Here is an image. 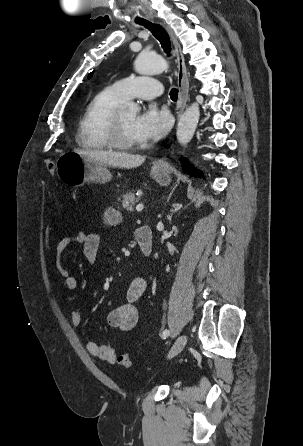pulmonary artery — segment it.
Wrapping results in <instances>:
<instances>
[{"instance_id":"e3ab8cb5","label":"pulmonary artery","mask_w":303,"mask_h":446,"mask_svg":"<svg viewBox=\"0 0 303 446\" xmlns=\"http://www.w3.org/2000/svg\"><path fill=\"white\" fill-rule=\"evenodd\" d=\"M115 90L125 99L140 98L152 100L162 94L161 83L152 77H127L113 84Z\"/></svg>"}]
</instances>
